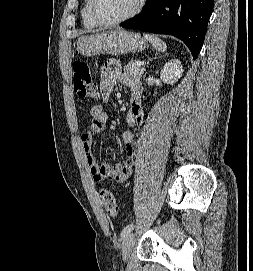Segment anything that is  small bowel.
Here are the masks:
<instances>
[{"label":"small bowel","mask_w":253,"mask_h":271,"mask_svg":"<svg viewBox=\"0 0 253 271\" xmlns=\"http://www.w3.org/2000/svg\"><path fill=\"white\" fill-rule=\"evenodd\" d=\"M117 83L127 86L131 93L130 109L126 115V123L129 129L122 134L123 143L128 148V155L125 162L114 165L100 164L91 153L94 135L102 132L109 119V114L102 105H94L91 108V123L89 128L80 136V142L86 153V161L90 174L98 182L106 180L125 182L130 177L135 163L134 148L136 146V138L133 129L140 127L144 120V112L141 104L143 94L141 82L133 75L122 72L120 64L117 61L109 60L103 65L100 71L99 91L104 102L108 101Z\"/></svg>","instance_id":"obj_1"}]
</instances>
